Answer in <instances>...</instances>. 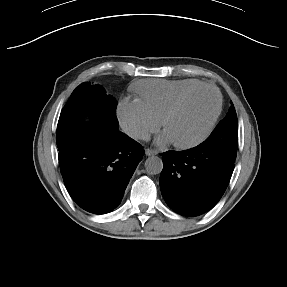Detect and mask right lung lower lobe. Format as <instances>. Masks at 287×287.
I'll return each mask as SVG.
<instances>
[{
	"mask_svg": "<svg viewBox=\"0 0 287 287\" xmlns=\"http://www.w3.org/2000/svg\"><path fill=\"white\" fill-rule=\"evenodd\" d=\"M145 151L118 128H83L59 153L65 186L84 210L105 214L116 208Z\"/></svg>",
	"mask_w": 287,
	"mask_h": 287,
	"instance_id": "98d812e1",
	"label": "right lung lower lobe"
}]
</instances>
